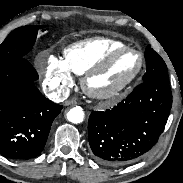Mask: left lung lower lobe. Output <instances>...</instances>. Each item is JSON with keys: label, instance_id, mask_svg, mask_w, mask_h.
<instances>
[{"label": "left lung lower lobe", "instance_id": "0a47b994", "mask_svg": "<svg viewBox=\"0 0 183 183\" xmlns=\"http://www.w3.org/2000/svg\"><path fill=\"white\" fill-rule=\"evenodd\" d=\"M172 105L169 82L147 81L106 111L88 120L92 156L108 166H120L146 155L157 143Z\"/></svg>", "mask_w": 183, "mask_h": 183}]
</instances>
